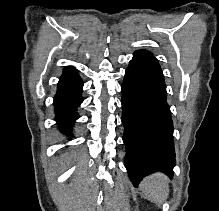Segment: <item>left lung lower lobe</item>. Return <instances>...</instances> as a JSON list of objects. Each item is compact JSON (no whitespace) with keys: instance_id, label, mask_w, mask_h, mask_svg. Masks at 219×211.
<instances>
[{"instance_id":"left-lung-lower-lobe-1","label":"left lung lower lobe","mask_w":219,"mask_h":211,"mask_svg":"<svg viewBox=\"0 0 219 211\" xmlns=\"http://www.w3.org/2000/svg\"><path fill=\"white\" fill-rule=\"evenodd\" d=\"M122 90L125 166L134 186L156 171L173 176V122L167 103L164 75L149 52L134 53Z\"/></svg>"}]
</instances>
